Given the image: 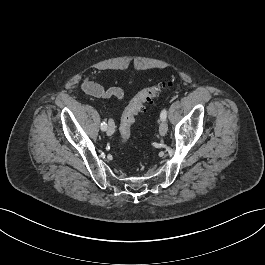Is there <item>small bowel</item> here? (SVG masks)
Returning a JSON list of instances; mask_svg holds the SVG:
<instances>
[{
	"instance_id": "1",
	"label": "small bowel",
	"mask_w": 265,
	"mask_h": 265,
	"mask_svg": "<svg viewBox=\"0 0 265 265\" xmlns=\"http://www.w3.org/2000/svg\"><path fill=\"white\" fill-rule=\"evenodd\" d=\"M97 76H90L83 79L81 83L82 90L88 95L97 99L115 98L117 101L124 99V90L120 87L104 88L100 84L94 81Z\"/></svg>"
}]
</instances>
